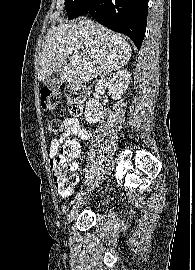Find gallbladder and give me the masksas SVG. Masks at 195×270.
I'll use <instances>...</instances> for the list:
<instances>
[{"label":"gallbladder","mask_w":195,"mask_h":270,"mask_svg":"<svg viewBox=\"0 0 195 270\" xmlns=\"http://www.w3.org/2000/svg\"><path fill=\"white\" fill-rule=\"evenodd\" d=\"M64 67V64H62L57 71L52 73L47 79L44 81V85L49 88L50 90L54 91L61 87L62 85V79H61V72Z\"/></svg>","instance_id":"1"}]
</instances>
